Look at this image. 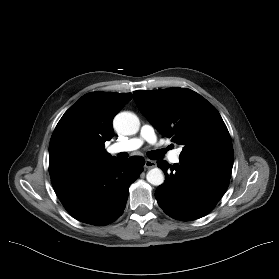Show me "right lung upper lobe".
I'll return each instance as SVG.
<instances>
[{"mask_svg":"<svg viewBox=\"0 0 279 279\" xmlns=\"http://www.w3.org/2000/svg\"><path fill=\"white\" fill-rule=\"evenodd\" d=\"M131 99V93L91 92L73 104L50 140L51 179L116 158L106 152L104 143L114 135V116Z\"/></svg>","mask_w":279,"mask_h":279,"instance_id":"cb5924a9","label":"right lung upper lobe"}]
</instances>
